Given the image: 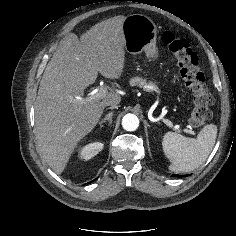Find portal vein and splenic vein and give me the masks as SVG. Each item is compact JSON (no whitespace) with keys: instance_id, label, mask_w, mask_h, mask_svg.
Wrapping results in <instances>:
<instances>
[{"instance_id":"portal-vein-and-splenic-vein-1","label":"portal vein and splenic vein","mask_w":236,"mask_h":236,"mask_svg":"<svg viewBox=\"0 0 236 236\" xmlns=\"http://www.w3.org/2000/svg\"><path fill=\"white\" fill-rule=\"evenodd\" d=\"M108 94L107 88L100 85L96 91L91 92L86 98H78L83 102H94L105 98ZM163 122L170 128L179 129V125H173V123L168 119H163Z\"/></svg>"}]
</instances>
